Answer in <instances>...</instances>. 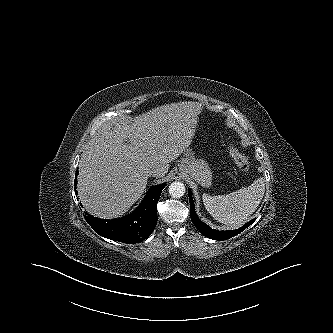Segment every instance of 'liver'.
<instances>
[{
	"instance_id": "1",
	"label": "liver",
	"mask_w": 333,
	"mask_h": 333,
	"mask_svg": "<svg viewBox=\"0 0 333 333\" xmlns=\"http://www.w3.org/2000/svg\"><path fill=\"white\" fill-rule=\"evenodd\" d=\"M200 109L190 101L166 104L133 122L103 126L79 163L77 190L85 209L101 219L127 212L144 193L151 168L161 178L171 161L190 150Z\"/></svg>"
}]
</instances>
